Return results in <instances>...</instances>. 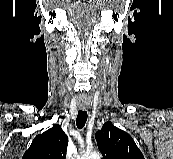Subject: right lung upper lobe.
<instances>
[{
	"instance_id": "cb5924a9",
	"label": "right lung upper lobe",
	"mask_w": 173,
	"mask_h": 159,
	"mask_svg": "<svg viewBox=\"0 0 173 159\" xmlns=\"http://www.w3.org/2000/svg\"><path fill=\"white\" fill-rule=\"evenodd\" d=\"M68 137L59 124L37 135L22 159H65Z\"/></svg>"
}]
</instances>
